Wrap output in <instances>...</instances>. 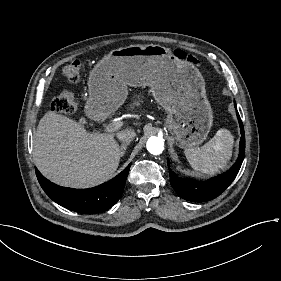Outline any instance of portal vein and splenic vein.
Returning a JSON list of instances; mask_svg holds the SVG:
<instances>
[{
  "mask_svg": "<svg viewBox=\"0 0 281 281\" xmlns=\"http://www.w3.org/2000/svg\"><path fill=\"white\" fill-rule=\"evenodd\" d=\"M126 125L127 122L125 120H122L121 122L115 121L111 124L106 125L104 131L106 134L111 135L114 133V131L118 132L122 127H125Z\"/></svg>",
  "mask_w": 281,
  "mask_h": 281,
  "instance_id": "18ae733b",
  "label": "portal vein and splenic vein"
}]
</instances>
